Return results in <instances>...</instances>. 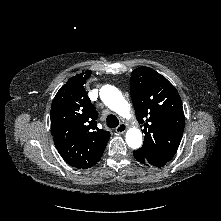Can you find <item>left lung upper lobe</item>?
I'll return each instance as SVG.
<instances>
[{
	"mask_svg": "<svg viewBox=\"0 0 221 221\" xmlns=\"http://www.w3.org/2000/svg\"><path fill=\"white\" fill-rule=\"evenodd\" d=\"M131 97L136 118L143 126L144 143L136 152L156 167H163L177 151L185 117L176 88L149 67L131 74Z\"/></svg>",
	"mask_w": 221,
	"mask_h": 221,
	"instance_id": "5c2ea615",
	"label": "left lung upper lobe"
}]
</instances>
